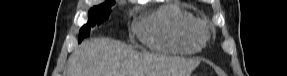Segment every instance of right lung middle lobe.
<instances>
[{
	"label": "right lung middle lobe",
	"instance_id": "dd1d6c3e",
	"mask_svg": "<svg viewBox=\"0 0 287 76\" xmlns=\"http://www.w3.org/2000/svg\"><path fill=\"white\" fill-rule=\"evenodd\" d=\"M113 4L114 3H103L90 9L88 13V23L80 29L79 42L90 35L91 27L100 25L103 21L108 19V15L111 11L110 7Z\"/></svg>",
	"mask_w": 287,
	"mask_h": 76
}]
</instances>
